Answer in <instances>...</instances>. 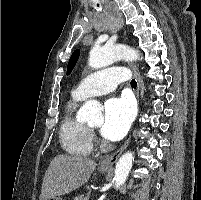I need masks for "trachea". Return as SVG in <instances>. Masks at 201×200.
Instances as JSON below:
<instances>
[{
	"instance_id": "trachea-1",
	"label": "trachea",
	"mask_w": 201,
	"mask_h": 200,
	"mask_svg": "<svg viewBox=\"0 0 201 200\" xmlns=\"http://www.w3.org/2000/svg\"><path fill=\"white\" fill-rule=\"evenodd\" d=\"M131 86L133 87V88H136V86H137V82L133 79V80H131Z\"/></svg>"
}]
</instances>
